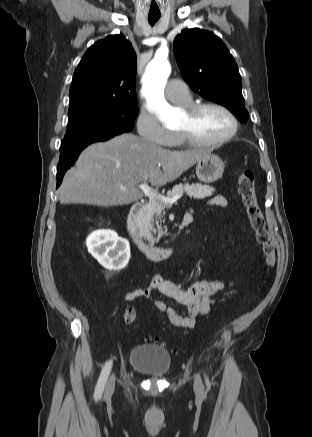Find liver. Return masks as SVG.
I'll list each match as a JSON object with an SVG mask.
<instances>
[{
    "label": "liver",
    "mask_w": 312,
    "mask_h": 437,
    "mask_svg": "<svg viewBox=\"0 0 312 437\" xmlns=\"http://www.w3.org/2000/svg\"><path fill=\"white\" fill-rule=\"evenodd\" d=\"M210 152L169 150L134 134L91 144L65 174L60 202L105 207L130 204L143 196L136 187L139 183L164 186Z\"/></svg>",
    "instance_id": "liver-1"
}]
</instances>
